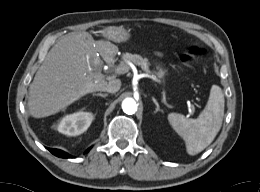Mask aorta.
<instances>
[{"label":"aorta","mask_w":260,"mask_h":192,"mask_svg":"<svg viewBox=\"0 0 260 192\" xmlns=\"http://www.w3.org/2000/svg\"><path fill=\"white\" fill-rule=\"evenodd\" d=\"M121 106L123 111L129 115L134 114L138 109V104L133 98H125Z\"/></svg>","instance_id":"obj_1"}]
</instances>
